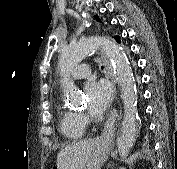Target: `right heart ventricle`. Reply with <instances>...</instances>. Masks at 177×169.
<instances>
[{
  "instance_id": "obj_1",
  "label": "right heart ventricle",
  "mask_w": 177,
  "mask_h": 169,
  "mask_svg": "<svg viewBox=\"0 0 177 169\" xmlns=\"http://www.w3.org/2000/svg\"><path fill=\"white\" fill-rule=\"evenodd\" d=\"M60 131L69 140H78L85 135V126L80 115L66 108H60Z\"/></svg>"
}]
</instances>
